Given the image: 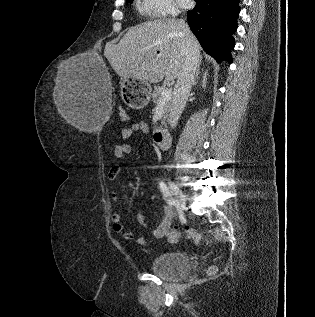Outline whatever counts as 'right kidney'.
<instances>
[{"label":"right kidney","mask_w":315,"mask_h":317,"mask_svg":"<svg viewBox=\"0 0 315 317\" xmlns=\"http://www.w3.org/2000/svg\"><path fill=\"white\" fill-rule=\"evenodd\" d=\"M206 84V74L204 75V79H203V87H205Z\"/></svg>","instance_id":"1"}]
</instances>
